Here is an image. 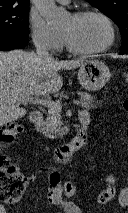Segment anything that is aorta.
<instances>
[{
    "label": "aorta",
    "instance_id": "aorta-1",
    "mask_svg": "<svg viewBox=\"0 0 128 213\" xmlns=\"http://www.w3.org/2000/svg\"><path fill=\"white\" fill-rule=\"evenodd\" d=\"M41 15L51 26L61 25L67 17V13L59 9L54 0H34Z\"/></svg>",
    "mask_w": 128,
    "mask_h": 213
}]
</instances>
